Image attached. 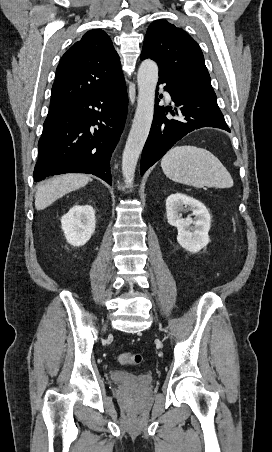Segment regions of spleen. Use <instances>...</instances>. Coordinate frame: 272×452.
<instances>
[{"instance_id":"3e777b00","label":"spleen","mask_w":272,"mask_h":452,"mask_svg":"<svg viewBox=\"0 0 272 452\" xmlns=\"http://www.w3.org/2000/svg\"><path fill=\"white\" fill-rule=\"evenodd\" d=\"M164 174L174 182L202 188H230L233 179L210 151L195 146H176L161 160Z\"/></svg>"}]
</instances>
